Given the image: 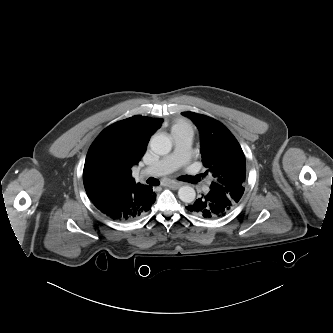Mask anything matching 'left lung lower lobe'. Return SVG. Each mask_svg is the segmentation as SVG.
I'll use <instances>...</instances> for the list:
<instances>
[{
  "label": "left lung lower lobe",
  "mask_w": 333,
  "mask_h": 333,
  "mask_svg": "<svg viewBox=\"0 0 333 333\" xmlns=\"http://www.w3.org/2000/svg\"><path fill=\"white\" fill-rule=\"evenodd\" d=\"M235 204L224 194L209 190L187 208L193 214L205 219H218L228 214Z\"/></svg>",
  "instance_id": "0a47b994"
}]
</instances>
